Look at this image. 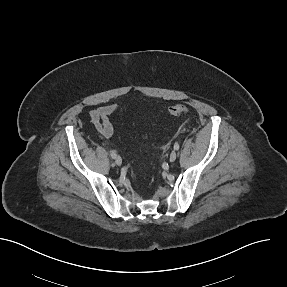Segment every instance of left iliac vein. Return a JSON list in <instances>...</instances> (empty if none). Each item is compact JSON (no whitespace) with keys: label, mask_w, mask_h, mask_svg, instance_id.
Wrapping results in <instances>:
<instances>
[{"label":"left iliac vein","mask_w":287,"mask_h":287,"mask_svg":"<svg viewBox=\"0 0 287 287\" xmlns=\"http://www.w3.org/2000/svg\"><path fill=\"white\" fill-rule=\"evenodd\" d=\"M177 158V153L176 151H172L169 157L170 162H174Z\"/></svg>","instance_id":"obj_1"}]
</instances>
